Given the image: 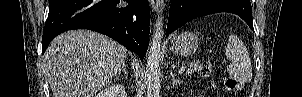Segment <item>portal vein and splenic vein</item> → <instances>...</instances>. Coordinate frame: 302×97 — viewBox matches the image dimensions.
<instances>
[{"label": "portal vein and splenic vein", "mask_w": 302, "mask_h": 97, "mask_svg": "<svg viewBox=\"0 0 302 97\" xmlns=\"http://www.w3.org/2000/svg\"><path fill=\"white\" fill-rule=\"evenodd\" d=\"M185 70V66H182L179 70L178 73H182Z\"/></svg>", "instance_id": "portal-vein-and-splenic-vein-1"}]
</instances>
